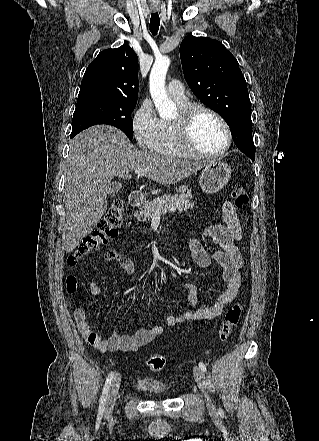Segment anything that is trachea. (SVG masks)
I'll use <instances>...</instances> for the list:
<instances>
[{
    "instance_id": "1",
    "label": "trachea",
    "mask_w": 319,
    "mask_h": 441,
    "mask_svg": "<svg viewBox=\"0 0 319 441\" xmlns=\"http://www.w3.org/2000/svg\"><path fill=\"white\" fill-rule=\"evenodd\" d=\"M160 26V18L158 12L152 13L150 18V31L153 35H156Z\"/></svg>"
}]
</instances>
